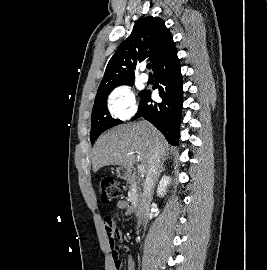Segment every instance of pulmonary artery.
I'll return each instance as SVG.
<instances>
[{"instance_id":"e3ab8cb5","label":"pulmonary artery","mask_w":267,"mask_h":270,"mask_svg":"<svg viewBox=\"0 0 267 270\" xmlns=\"http://www.w3.org/2000/svg\"><path fill=\"white\" fill-rule=\"evenodd\" d=\"M142 70H143V68H142ZM140 79H141V81H143V82H147L148 79H149V77H148V75H147L146 73H141Z\"/></svg>"}]
</instances>
